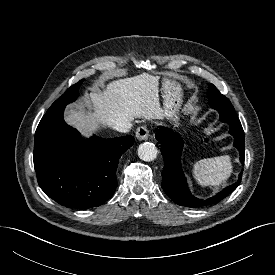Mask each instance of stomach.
Masks as SVG:
<instances>
[{
	"mask_svg": "<svg viewBox=\"0 0 275 275\" xmlns=\"http://www.w3.org/2000/svg\"><path fill=\"white\" fill-rule=\"evenodd\" d=\"M163 111L165 118L177 124L182 105L181 85L172 78L164 77L162 82Z\"/></svg>",
	"mask_w": 275,
	"mask_h": 275,
	"instance_id": "0dacf381",
	"label": "stomach"
}]
</instances>
